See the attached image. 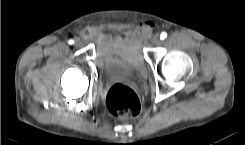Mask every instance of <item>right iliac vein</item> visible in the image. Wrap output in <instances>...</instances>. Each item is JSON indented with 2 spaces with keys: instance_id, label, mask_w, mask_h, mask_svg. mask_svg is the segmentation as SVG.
<instances>
[{
  "instance_id": "63e3f726",
  "label": "right iliac vein",
  "mask_w": 245,
  "mask_h": 145,
  "mask_svg": "<svg viewBox=\"0 0 245 145\" xmlns=\"http://www.w3.org/2000/svg\"><path fill=\"white\" fill-rule=\"evenodd\" d=\"M74 44L76 47H80L82 45V41L80 39H76Z\"/></svg>"
}]
</instances>
